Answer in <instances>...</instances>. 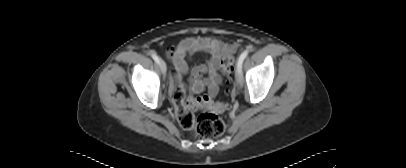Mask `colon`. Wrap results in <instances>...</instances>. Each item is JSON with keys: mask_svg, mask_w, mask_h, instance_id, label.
<instances>
[{"mask_svg": "<svg viewBox=\"0 0 406 168\" xmlns=\"http://www.w3.org/2000/svg\"><path fill=\"white\" fill-rule=\"evenodd\" d=\"M234 68V59L225 56L220 63V73L227 81ZM172 101L175 105V116L179 125L186 130H195L202 139H212L225 132L226 124L217 115L225 109L222 103H214L207 98L187 96L181 86L171 92ZM204 108L205 112L195 117V111Z\"/></svg>", "mask_w": 406, "mask_h": 168, "instance_id": "colon-1", "label": "colon"}]
</instances>
